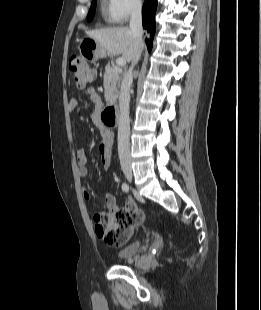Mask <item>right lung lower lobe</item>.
Here are the masks:
<instances>
[{
  "label": "right lung lower lobe",
  "mask_w": 261,
  "mask_h": 310,
  "mask_svg": "<svg viewBox=\"0 0 261 310\" xmlns=\"http://www.w3.org/2000/svg\"><path fill=\"white\" fill-rule=\"evenodd\" d=\"M157 8V0H145L142 10V17H143V28L147 30L148 33H150L151 37L150 40L146 39V44L148 47V50L151 51L152 49V41L156 24H155V12Z\"/></svg>",
  "instance_id": "1"
}]
</instances>
